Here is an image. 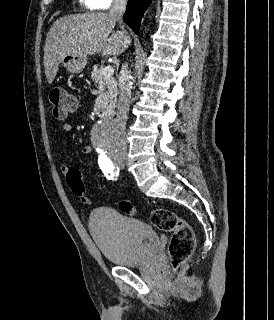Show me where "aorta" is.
<instances>
[{"mask_svg": "<svg viewBox=\"0 0 274 320\" xmlns=\"http://www.w3.org/2000/svg\"><path fill=\"white\" fill-rule=\"evenodd\" d=\"M121 124L115 121L105 120L96 127L94 141L101 149L115 148L121 139Z\"/></svg>", "mask_w": 274, "mask_h": 320, "instance_id": "762f6f07", "label": "aorta"}]
</instances>
